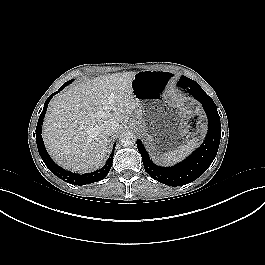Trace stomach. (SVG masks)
Wrapping results in <instances>:
<instances>
[{
  "label": "stomach",
  "mask_w": 265,
  "mask_h": 265,
  "mask_svg": "<svg viewBox=\"0 0 265 265\" xmlns=\"http://www.w3.org/2000/svg\"><path fill=\"white\" fill-rule=\"evenodd\" d=\"M172 80L170 72L143 70L132 81L141 115L131 125L147 136L153 152L162 157L178 154L186 143L187 111L182 102L168 97Z\"/></svg>",
  "instance_id": "0dacf381"
}]
</instances>
